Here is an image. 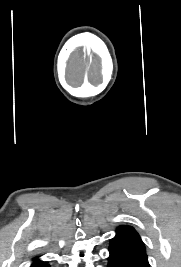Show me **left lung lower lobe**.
Returning <instances> with one entry per match:
<instances>
[{
  "instance_id": "0a47b994",
  "label": "left lung lower lobe",
  "mask_w": 181,
  "mask_h": 267,
  "mask_svg": "<svg viewBox=\"0 0 181 267\" xmlns=\"http://www.w3.org/2000/svg\"><path fill=\"white\" fill-rule=\"evenodd\" d=\"M111 239L107 267H150L145 246L138 233L129 226H121Z\"/></svg>"
}]
</instances>
